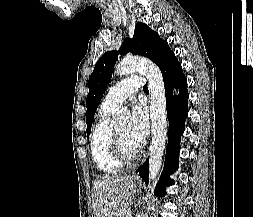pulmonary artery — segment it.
<instances>
[{
    "mask_svg": "<svg viewBox=\"0 0 253 217\" xmlns=\"http://www.w3.org/2000/svg\"><path fill=\"white\" fill-rule=\"evenodd\" d=\"M144 78L131 76L125 78L110 88L105 95L101 107L107 110H117L121 104L135 91L143 87Z\"/></svg>",
    "mask_w": 253,
    "mask_h": 217,
    "instance_id": "pulmonary-artery-1",
    "label": "pulmonary artery"
}]
</instances>
